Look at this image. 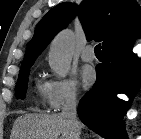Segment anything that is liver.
<instances>
[{"mask_svg": "<svg viewBox=\"0 0 141 139\" xmlns=\"http://www.w3.org/2000/svg\"><path fill=\"white\" fill-rule=\"evenodd\" d=\"M71 137L68 121L61 113L24 114L15 120L10 139H72Z\"/></svg>", "mask_w": 141, "mask_h": 139, "instance_id": "obj_1", "label": "liver"}]
</instances>
